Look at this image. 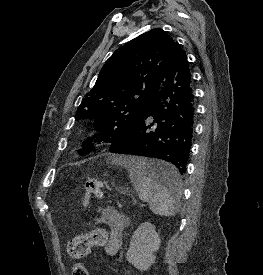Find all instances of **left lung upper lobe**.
Listing matches in <instances>:
<instances>
[{
  "label": "left lung upper lobe",
  "instance_id": "5c2ea615",
  "mask_svg": "<svg viewBox=\"0 0 263 275\" xmlns=\"http://www.w3.org/2000/svg\"><path fill=\"white\" fill-rule=\"evenodd\" d=\"M182 48L163 30L141 34L118 48L103 65L98 79L76 113V120L92 119L97 142H113L129 135L150 106L173 56ZM78 153L94 150L92 138Z\"/></svg>",
  "mask_w": 263,
  "mask_h": 275
}]
</instances>
